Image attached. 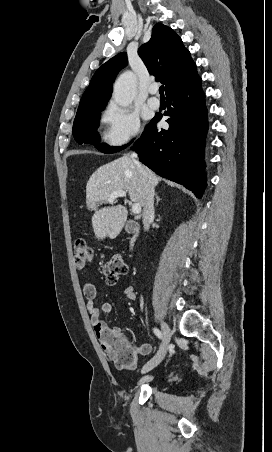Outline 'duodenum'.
Masks as SVG:
<instances>
[{
    "mask_svg": "<svg viewBox=\"0 0 272 452\" xmlns=\"http://www.w3.org/2000/svg\"><path fill=\"white\" fill-rule=\"evenodd\" d=\"M125 228L132 235L131 243L134 245L139 236L140 224L135 220H129L126 222Z\"/></svg>",
    "mask_w": 272,
    "mask_h": 452,
    "instance_id": "410a0bca",
    "label": "duodenum"
}]
</instances>
